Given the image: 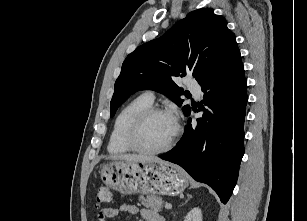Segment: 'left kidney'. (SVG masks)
I'll list each match as a JSON object with an SVG mask.
<instances>
[{
  "label": "left kidney",
  "instance_id": "left-kidney-1",
  "mask_svg": "<svg viewBox=\"0 0 307 221\" xmlns=\"http://www.w3.org/2000/svg\"><path fill=\"white\" fill-rule=\"evenodd\" d=\"M184 221H202L200 208H193L185 217Z\"/></svg>",
  "mask_w": 307,
  "mask_h": 221
}]
</instances>
